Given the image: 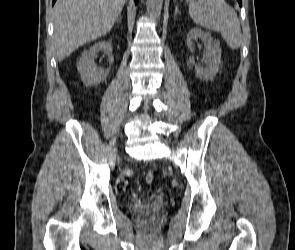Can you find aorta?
I'll list each match as a JSON object with an SVG mask.
<instances>
[{"instance_id": "762f6f07", "label": "aorta", "mask_w": 295, "mask_h": 250, "mask_svg": "<svg viewBox=\"0 0 295 250\" xmlns=\"http://www.w3.org/2000/svg\"><path fill=\"white\" fill-rule=\"evenodd\" d=\"M163 0H147V12L151 17L158 18L161 14Z\"/></svg>"}]
</instances>
